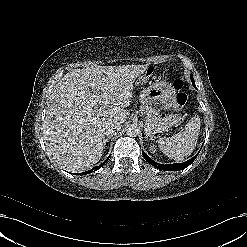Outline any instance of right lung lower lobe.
I'll list each match as a JSON object with an SVG mask.
<instances>
[{"mask_svg": "<svg viewBox=\"0 0 247 247\" xmlns=\"http://www.w3.org/2000/svg\"><path fill=\"white\" fill-rule=\"evenodd\" d=\"M108 158H109V157H108ZM108 158H107L102 164H100L99 166L94 167L93 169H91V170H89V171H86V172H84V173H80V175L89 174V173H92L93 171L98 170L99 168H101V167L106 163V161L108 160Z\"/></svg>", "mask_w": 247, "mask_h": 247, "instance_id": "98d812e1", "label": "right lung lower lobe"}]
</instances>
